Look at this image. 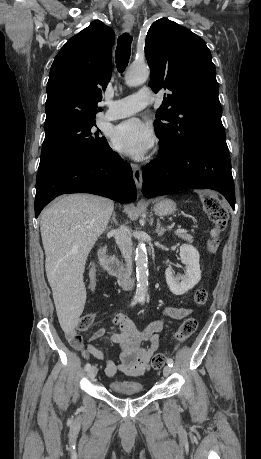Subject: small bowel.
I'll list each match as a JSON object with an SVG mask.
<instances>
[{"mask_svg":"<svg viewBox=\"0 0 261 459\" xmlns=\"http://www.w3.org/2000/svg\"><path fill=\"white\" fill-rule=\"evenodd\" d=\"M96 283V272L92 269L89 274V292H93ZM190 310L184 307L168 306L163 317L153 320L143 327H138L132 320L123 313L116 314L111 324L118 327L119 331L109 336L111 342L120 346L119 363L106 359L105 372L109 377L118 372L130 376H142L149 370V361L160 345V332L164 328V318L180 320L185 318ZM106 328L96 330L91 340L103 337ZM70 344L81 350L85 358L94 357L99 360L105 359L104 351L94 344L83 346L82 337L75 330L67 333Z\"/></svg>","mask_w":261,"mask_h":459,"instance_id":"small-bowel-1","label":"small bowel"}]
</instances>
